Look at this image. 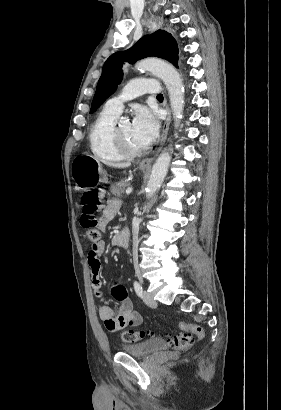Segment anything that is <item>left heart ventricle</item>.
<instances>
[{"instance_id": "left-heart-ventricle-1", "label": "left heart ventricle", "mask_w": 281, "mask_h": 410, "mask_svg": "<svg viewBox=\"0 0 281 410\" xmlns=\"http://www.w3.org/2000/svg\"><path fill=\"white\" fill-rule=\"evenodd\" d=\"M119 130L122 137L126 140V142L134 149H142L144 146L140 144L133 135L132 132V125L127 120H121L119 123Z\"/></svg>"}]
</instances>
